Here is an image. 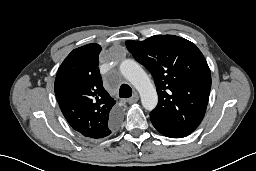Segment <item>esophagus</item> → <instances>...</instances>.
<instances>
[{"label": "esophagus", "mask_w": 256, "mask_h": 171, "mask_svg": "<svg viewBox=\"0 0 256 171\" xmlns=\"http://www.w3.org/2000/svg\"><path fill=\"white\" fill-rule=\"evenodd\" d=\"M139 100V96L137 93H135L131 98L128 99V103L133 104L136 103Z\"/></svg>", "instance_id": "34e87169"}]
</instances>
